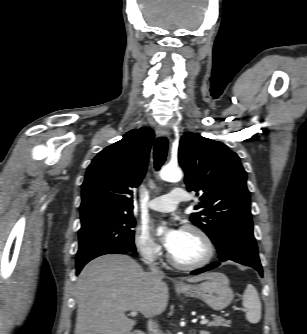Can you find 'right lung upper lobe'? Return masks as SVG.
Masks as SVG:
<instances>
[{"instance_id": "1", "label": "right lung upper lobe", "mask_w": 307, "mask_h": 334, "mask_svg": "<svg viewBox=\"0 0 307 334\" xmlns=\"http://www.w3.org/2000/svg\"><path fill=\"white\" fill-rule=\"evenodd\" d=\"M153 139L151 128L131 130L93 159L82 184L81 217L97 213L132 214L130 196L145 176Z\"/></svg>"}]
</instances>
